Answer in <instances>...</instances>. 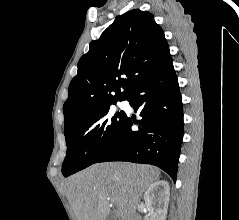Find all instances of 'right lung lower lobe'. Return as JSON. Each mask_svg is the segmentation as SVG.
<instances>
[{"mask_svg": "<svg viewBox=\"0 0 239 220\" xmlns=\"http://www.w3.org/2000/svg\"><path fill=\"white\" fill-rule=\"evenodd\" d=\"M141 120L126 115L124 123L94 163L130 161L160 167L176 180L183 138L182 99L170 60L126 97ZM138 125L133 131L131 126Z\"/></svg>", "mask_w": 239, "mask_h": 220, "instance_id": "98d812e1", "label": "right lung lower lobe"}]
</instances>
